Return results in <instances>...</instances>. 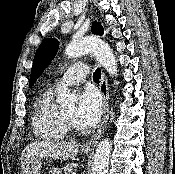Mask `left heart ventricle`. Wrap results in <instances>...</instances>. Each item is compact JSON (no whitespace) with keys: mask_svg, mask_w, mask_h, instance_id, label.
<instances>
[{"mask_svg":"<svg viewBox=\"0 0 175 174\" xmlns=\"http://www.w3.org/2000/svg\"><path fill=\"white\" fill-rule=\"evenodd\" d=\"M75 110H76V108L74 106H72L70 108L65 109L63 111V113L74 122V113H75Z\"/></svg>","mask_w":175,"mask_h":174,"instance_id":"b2bd125f","label":"left heart ventricle"}]
</instances>
